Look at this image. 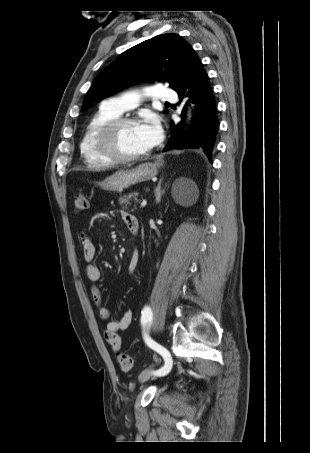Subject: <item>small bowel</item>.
Instances as JSON below:
<instances>
[{
  "instance_id": "small-bowel-1",
  "label": "small bowel",
  "mask_w": 310,
  "mask_h": 453,
  "mask_svg": "<svg viewBox=\"0 0 310 453\" xmlns=\"http://www.w3.org/2000/svg\"><path fill=\"white\" fill-rule=\"evenodd\" d=\"M121 216L129 230L133 227H138V221L132 214L126 211H122ZM80 240L83 259L86 262V277L90 282L97 283L101 280V271L97 266L92 264L95 256V246L85 233H81ZM139 259V251L137 249H134L129 260L128 274H132L135 271L139 263ZM91 294L100 318L102 320H109L110 312L103 305L102 295L99 288L93 286L91 289ZM132 319L133 313L132 311L128 310L122 315L120 319L108 321L106 329L104 331V338L114 352H118L121 349V339L118 333L120 331L126 330L131 324Z\"/></svg>"
}]
</instances>
